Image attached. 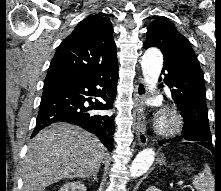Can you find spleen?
<instances>
[{
	"label": "spleen",
	"instance_id": "obj_1",
	"mask_svg": "<svg viewBox=\"0 0 221 191\" xmlns=\"http://www.w3.org/2000/svg\"><path fill=\"white\" fill-rule=\"evenodd\" d=\"M192 184L197 191H215V180L207 164L202 172L193 177Z\"/></svg>",
	"mask_w": 221,
	"mask_h": 191
}]
</instances>
